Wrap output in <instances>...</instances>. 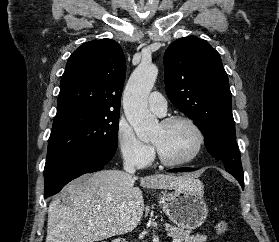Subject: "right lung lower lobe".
I'll use <instances>...</instances> for the list:
<instances>
[{
  "instance_id": "1",
  "label": "right lung lower lobe",
  "mask_w": 279,
  "mask_h": 242,
  "mask_svg": "<svg viewBox=\"0 0 279 242\" xmlns=\"http://www.w3.org/2000/svg\"><path fill=\"white\" fill-rule=\"evenodd\" d=\"M112 151H87L66 157L45 167L44 198L58 193L64 185L85 173L102 170L113 158Z\"/></svg>"
}]
</instances>
